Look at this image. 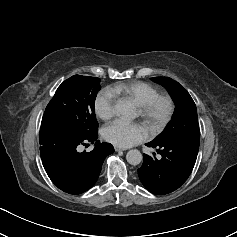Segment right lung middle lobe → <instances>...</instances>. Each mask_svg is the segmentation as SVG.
I'll return each instance as SVG.
<instances>
[{"mask_svg": "<svg viewBox=\"0 0 237 237\" xmlns=\"http://www.w3.org/2000/svg\"><path fill=\"white\" fill-rule=\"evenodd\" d=\"M100 79L74 75L56 90L46 107L41 127H57L75 136H87L97 131L95 99Z\"/></svg>", "mask_w": 237, "mask_h": 237, "instance_id": "1", "label": "right lung middle lobe"}]
</instances>
